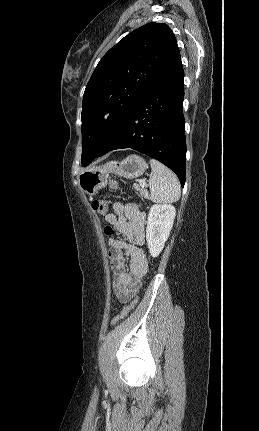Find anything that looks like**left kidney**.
<instances>
[{"instance_id": "left-kidney-1", "label": "left kidney", "mask_w": 259, "mask_h": 431, "mask_svg": "<svg viewBox=\"0 0 259 431\" xmlns=\"http://www.w3.org/2000/svg\"><path fill=\"white\" fill-rule=\"evenodd\" d=\"M176 210L169 204H154L149 211L146 240L152 257H157L164 248L173 226Z\"/></svg>"}]
</instances>
